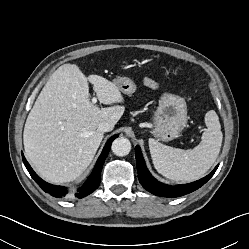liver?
<instances>
[{
    "instance_id": "1",
    "label": "liver",
    "mask_w": 249,
    "mask_h": 249,
    "mask_svg": "<svg viewBox=\"0 0 249 249\" xmlns=\"http://www.w3.org/2000/svg\"><path fill=\"white\" fill-rule=\"evenodd\" d=\"M88 82L100 103L90 102ZM124 98L115 82L85 76L64 64L49 78L30 111L23 134L25 153L38 174L54 184L79 177L92 162L103 139L105 121L113 127L124 113Z\"/></svg>"
}]
</instances>
